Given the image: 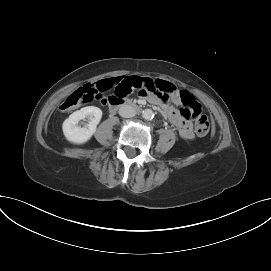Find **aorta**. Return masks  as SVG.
Returning a JSON list of instances; mask_svg holds the SVG:
<instances>
[{"instance_id":"1","label":"aorta","mask_w":271,"mask_h":271,"mask_svg":"<svg viewBox=\"0 0 271 271\" xmlns=\"http://www.w3.org/2000/svg\"><path fill=\"white\" fill-rule=\"evenodd\" d=\"M142 116H143L144 119L150 120V119H153L154 112L151 109H145L142 112Z\"/></svg>"}]
</instances>
